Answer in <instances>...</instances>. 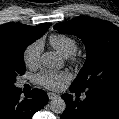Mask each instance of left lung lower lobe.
Returning <instances> with one entry per match:
<instances>
[{
	"mask_svg": "<svg viewBox=\"0 0 119 119\" xmlns=\"http://www.w3.org/2000/svg\"><path fill=\"white\" fill-rule=\"evenodd\" d=\"M72 93L78 89L70 86ZM66 110L61 119H119V91L107 89H88L86 99H73L71 94H63Z\"/></svg>",
	"mask_w": 119,
	"mask_h": 119,
	"instance_id": "obj_1",
	"label": "left lung lower lobe"
}]
</instances>
